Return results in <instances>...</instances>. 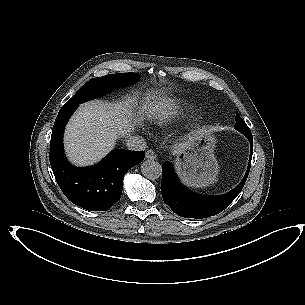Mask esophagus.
<instances>
[{
	"label": "esophagus",
	"mask_w": 305,
	"mask_h": 305,
	"mask_svg": "<svg viewBox=\"0 0 305 305\" xmlns=\"http://www.w3.org/2000/svg\"><path fill=\"white\" fill-rule=\"evenodd\" d=\"M156 153L153 150H147L146 151V158L149 160H155L156 159Z\"/></svg>",
	"instance_id": "1"
}]
</instances>
